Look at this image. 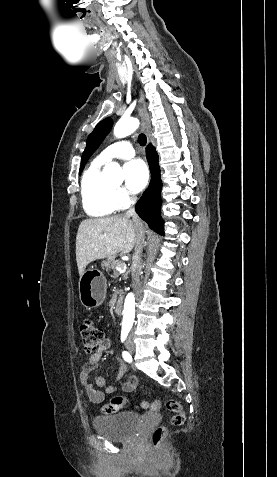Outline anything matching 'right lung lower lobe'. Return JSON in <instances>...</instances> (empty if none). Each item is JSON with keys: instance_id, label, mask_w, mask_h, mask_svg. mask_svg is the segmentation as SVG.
Masks as SVG:
<instances>
[{"instance_id": "98d812e1", "label": "right lung lower lobe", "mask_w": 277, "mask_h": 477, "mask_svg": "<svg viewBox=\"0 0 277 477\" xmlns=\"http://www.w3.org/2000/svg\"><path fill=\"white\" fill-rule=\"evenodd\" d=\"M147 160L151 169L152 179L148 189L143 193L135 208L138 215L148 223L154 231L163 234V223L160 216L161 188L158 154L152 145L146 150Z\"/></svg>"}]
</instances>
